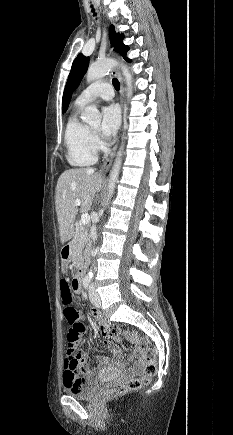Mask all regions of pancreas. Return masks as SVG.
Here are the masks:
<instances>
[{
  "instance_id": "1",
  "label": "pancreas",
  "mask_w": 233,
  "mask_h": 435,
  "mask_svg": "<svg viewBox=\"0 0 233 435\" xmlns=\"http://www.w3.org/2000/svg\"><path fill=\"white\" fill-rule=\"evenodd\" d=\"M88 242V231L83 225L76 229L75 236L71 242V260L76 268H80L85 255V247Z\"/></svg>"
}]
</instances>
